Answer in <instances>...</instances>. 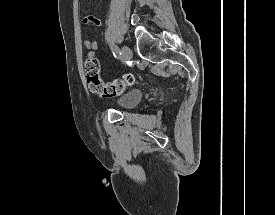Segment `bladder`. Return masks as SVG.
Wrapping results in <instances>:
<instances>
[{
	"instance_id": "obj_1",
	"label": "bladder",
	"mask_w": 275,
	"mask_h": 215,
	"mask_svg": "<svg viewBox=\"0 0 275 215\" xmlns=\"http://www.w3.org/2000/svg\"><path fill=\"white\" fill-rule=\"evenodd\" d=\"M140 97L139 91H129L122 94L117 102L124 109H132L139 103Z\"/></svg>"
}]
</instances>
